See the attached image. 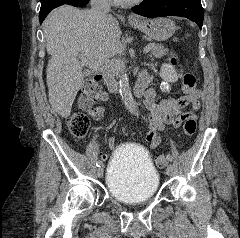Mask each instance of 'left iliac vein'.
I'll return each mask as SVG.
<instances>
[{"label":"left iliac vein","instance_id":"left-iliac-vein-1","mask_svg":"<svg viewBox=\"0 0 240 238\" xmlns=\"http://www.w3.org/2000/svg\"><path fill=\"white\" fill-rule=\"evenodd\" d=\"M173 172H174V167H173L172 164H169L167 166L166 173H167L168 176H171L173 174Z\"/></svg>","mask_w":240,"mask_h":238}]
</instances>
